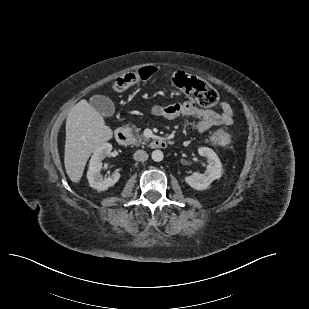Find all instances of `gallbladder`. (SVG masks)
I'll list each match as a JSON object with an SVG mask.
<instances>
[{
	"label": "gallbladder",
	"instance_id": "1",
	"mask_svg": "<svg viewBox=\"0 0 309 309\" xmlns=\"http://www.w3.org/2000/svg\"><path fill=\"white\" fill-rule=\"evenodd\" d=\"M90 105L103 116H112L115 106L112 100L104 95H94L90 98Z\"/></svg>",
	"mask_w": 309,
	"mask_h": 309
}]
</instances>
